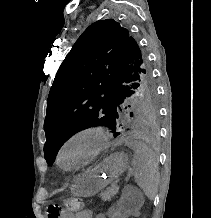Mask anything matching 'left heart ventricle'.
Segmentation results:
<instances>
[{
  "label": "left heart ventricle",
  "mask_w": 211,
  "mask_h": 218,
  "mask_svg": "<svg viewBox=\"0 0 211 218\" xmlns=\"http://www.w3.org/2000/svg\"><path fill=\"white\" fill-rule=\"evenodd\" d=\"M97 145L94 138H83L75 141L65 151L64 163L74 164L86 160Z\"/></svg>",
  "instance_id": "left-heart-ventricle-1"
}]
</instances>
